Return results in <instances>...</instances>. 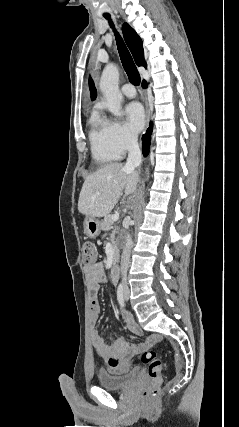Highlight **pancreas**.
<instances>
[{
  "instance_id": "1",
  "label": "pancreas",
  "mask_w": 239,
  "mask_h": 427,
  "mask_svg": "<svg viewBox=\"0 0 239 427\" xmlns=\"http://www.w3.org/2000/svg\"><path fill=\"white\" fill-rule=\"evenodd\" d=\"M112 225H113V221L111 220V215H108L104 218L103 222L101 223V229L103 231H108L112 228ZM116 255H117V250H116L115 256Z\"/></svg>"
}]
</instances>
